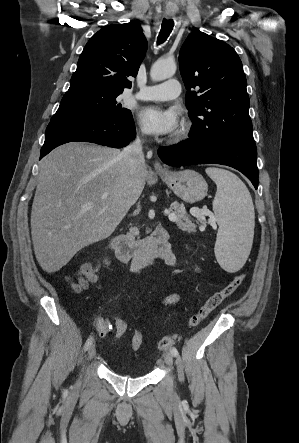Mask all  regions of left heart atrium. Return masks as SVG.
Wrapping results in <instances>:
<instances>
[{"instance_id": "obj_1", "label": "left heart atrium", "mask_w": 299, "mask_h": 443, "mask_svg": "<svg viewBox=\"0 0 299 443\" xmlns=\"http://www.w3.org/2000/svg\"><path fill=\"white\" fill-rule=\"evenodd\" d=\"M139 123L150 133L167 136L179 127V116L175 109L161 106H147L138 113Z\"/></svg>"}]
</instances>
